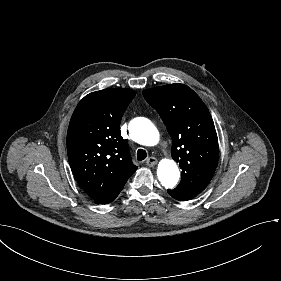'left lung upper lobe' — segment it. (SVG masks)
Here are the masks:
<instances>
[{"label": "left lung upper lobe", "mask_w": 281, "mask_h": 281, "mask_svg": "<svg viewBox=\"0 0 281 281\" xmlns=\"http://www.w3.org/2000/svg\"><path fill=\"white\" fill-rule=\"evenodd\" d=\"M172 138L171 155L179 162L182 180L175 188L193 196L210 182L218 163V139L212 117L188 86L170 84L143 91Z\"/></svg>", "instance_id": "obj_1"}]
</instances>
